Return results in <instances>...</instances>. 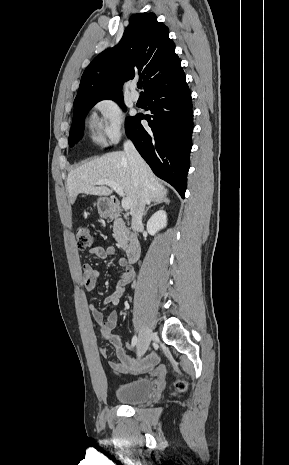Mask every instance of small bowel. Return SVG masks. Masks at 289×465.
I'll list each match as a JSON object with an SVG mask.
<instances>
[{"label": "small bowel", "mask_w": 289, "mask_h": 465, "mask_svg": "<svg viewBox=\"0 0 289 465\" xmlns=\"http://www.w3.org/2000/svg\"><path fill=\"white\" fill-rule=\"evenodd\" d=\"M90 253L96 256L97 258L106 259L115 256L116 249L113 246H109L106 248L95 247L90 251ZM119 264L124 269V271L118 280L115 291L103 300L104 305H118L120 303L121 298L125 294L126 285L130 283L134 278V270L127 264L125 259L121 258L119 260ZM99 276L100 272L94 269L90 263H84L82 265L81 282L87 292H92L95 289ZM89 310L95 322L100 327V333L102 337L105 340L109 341L115 348V353L118 361H109L108 363L113 371L121 374H126L130 371L147 373L153 370L154 366L159 361V355L157 353H152L148 355L141 363L136 365L134 360L126 352L121 338L114 332L118 322V314L115 310L111 311L107 317H104L102 312L93 303L89 304ZM100 354L103 357L107 356V350L105 347L100 348Z\"/></svg>", "instance_id": "c3829d8e"}]
</instances>
